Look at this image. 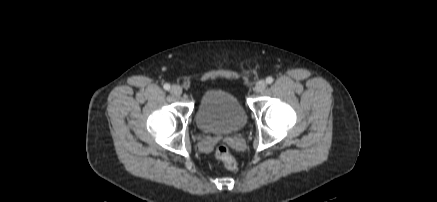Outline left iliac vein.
<instances>
[{"mask_svg": "<svg viewBox=\"0 0 437 202\" xmlns=\"http://www.w3.org/2000/svg\"><path fill=\"white\" fill-rule=\"evenodd\" d=\"M267 84L264 80H260L255 84V92L260 93L263 92L266 88Z\"/></svg>", "mask_w": 437, "mask_h": 202, "instance_id": "left-iliac-vein-1", "label": "left iliac vein"}]
</instances>
